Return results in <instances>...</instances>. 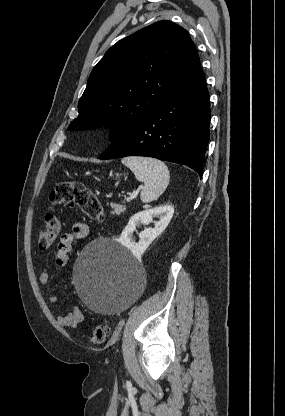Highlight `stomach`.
I'll return each mask as SVG.
<instances>
[{
    "instance_id": "0dacf381",
    "label": "stomach",
    "mask_w": 285,
    "mask_h": 416,
    "mask_svg": "<svg viewBox=\"0 0 285 416\" xmlns=\"http://www.w3.org/2000/svg\"><path fill=\"white\" fill-rule=\"evenodd\" d=\"M119 176H121V174H116V178H119Z\"/></svg>"
}]
</instances>
